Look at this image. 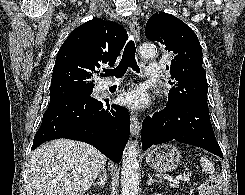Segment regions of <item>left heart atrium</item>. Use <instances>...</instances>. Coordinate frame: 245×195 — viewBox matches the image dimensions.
Masks as SVG:
<instances>
[{
    "mask_svg": "<svg viewBox=\"0 0 245 195\" xmlns=\"http://www.w3.org/2000/svg\"><path fill=\"white\" fill-rule=\"evenodd\" d=\"M122 105L132 109H142L149 104V97L143 88L137 87L123 93L120 97Z\"/></svg>",
    "mask_w": 245,
    "mask_h": 195,
    "instance_id": "left-heart-atrium-1",
    "label": "left heart atrium"
}]
</instances>
